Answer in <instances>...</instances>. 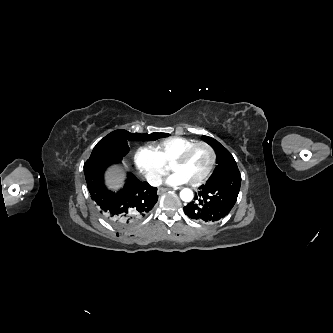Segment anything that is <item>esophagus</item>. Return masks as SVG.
I'll use <instances>...</instances> for the list:
<instances>
[{
    "mask_svg": "<svg viewBox=\"0 0 333 333\" xmlns=\"http://www.w3.org/2000/svg\"><path fill=\"white\" fill-rule=\"evenodd\" d=\"M168 190H170V189H169V188H160V189L158 190V194L161 195V194H163L164 192H166V191H168Z\"/></svg>",
    "mask_w": 333,
    "mask_h": 333,
    "instance_id": "1",
    "label": "esophagus"
}]
</instances>
